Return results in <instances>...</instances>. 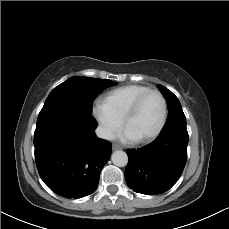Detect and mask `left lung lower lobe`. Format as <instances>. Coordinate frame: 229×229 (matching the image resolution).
I'll use <instances>...</instances> for the list:
<instances>
[{
    "mask_svg": "<svg viewBox=\"0 0 229 229\" xmlns=\"http://www.w3.org/2000/svg\"><path fill=\"white\" fill-rule=\"evenodd\" d=\"M188 132L178 125L151 144L127 150L125 170L128 186L137 193L154 195L169 190L180 178L187 160Z\"/></svg>",
    "mask_w": 229,
    "mask_h": 229,
    "instance_id": "left-lung-lower-lobe-1",
    "label": "left lung lower lobe"
}]
</instances>
